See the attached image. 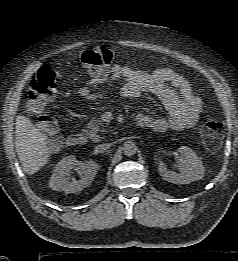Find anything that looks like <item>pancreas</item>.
I'll use <instances>...</instances> for the list:
<instances>
[{
  "label": "pancreas",
  "mask_w": 238,
  "mask_h": 261,
  "mask_svg": "<svg viewBox=\"0 0 238 261\" xmlns=\"http://www.w3.org/2000/svg\"><path fill=\"white\" fill-rule=\"evenodd\" d=\"M104 127L105 123H103L100 118L93 117L87 124V129L84 130V132H86V134L91 140H93L94 142H99L103 137H101L98 133L107 132V130Z\"/></svg>",
  "instance_id": "pancreas-1"
}]
</instances>
